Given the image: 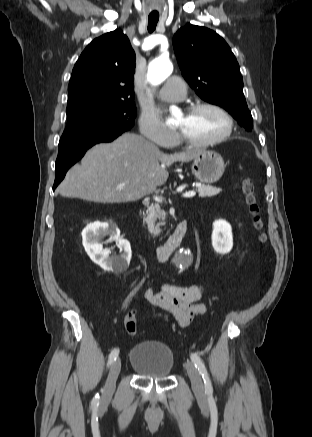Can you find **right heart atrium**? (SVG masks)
Instances as JSON below:
<instances>
[{
	"mask_svg": "<svg viewBox=\"0 0 312 437\" xmlns=\"http://www.w3.org/2000/svg\"><path fill=\"white\" fill-rule=\"evenodd\" d=\"M141 134L151 142L168 147L175 143L176 133L166 128L158 116L152 112H143L139 118Z\"/></svg>",
	"mask_w": 312,
	"mask_h": 437,
	"instance_id": "1",
	"label": "right heart atrium"
}]
</instances>
